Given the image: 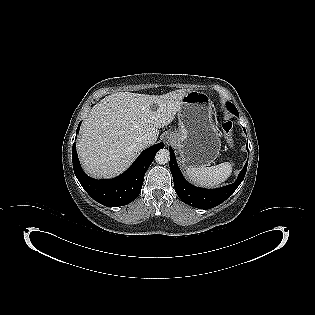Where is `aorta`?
<instances>
[{
  "label": "aorta",
  "instance_id": "1",
  "mask_svg": "<svg viewBox=\"0 0 315 315\" xmlns=\"http://www.w3.org/2000/svg\"><path fill=\"white\" fill-rule=\"evenodd\" d=\"M155 160L158 164H166L170 160V153L167 149H160L155 156Z\"/></svg>",
  "mask_w": 315,
  "mask_h": 315
}]
</instances>
